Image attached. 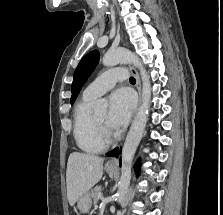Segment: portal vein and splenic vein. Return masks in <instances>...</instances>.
<instances>
[{"label":"portal vein and splenic vein","mask_w":223,"mask_h":215,"mask_svg":"<svg viewBox=\"0 0 223 215\" xmlns=\"http://www.w3.org/2000/svg\"><path fill=\"white\" fill-rule=\"evenodd\" d=\"M103 192H99V194L97 195L99 198L102 196Z\"/></svg>","instance_id":"18ae733b"}]
</instances>
